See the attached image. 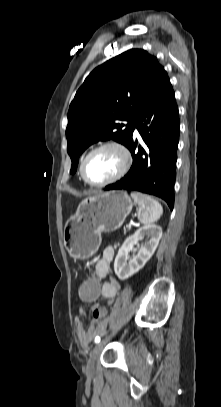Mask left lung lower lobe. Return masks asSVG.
I'll list each match as a JSON object with an SVG mask.
<instances>
[{"instance_id":"left-lung-lower-lobe-1","label":"left lung lower lobe","mask_w":221,"mask_h":407,"mask_svg":"<svg viewBox=\"0 0 221 407\" xmlns=\"http://www.w3.org/2000/svg\"><path fill=\"white\" fill-rule=\"evenodd\" d=\"M135 128L144 143L135 152L137 141L131 137L126 147L132 153L133 165L127 175L106 186L105 190L125 189L152 194L165 200L172 210L180 123L175 94L167 75L138 115L133 131Z\"/></svg>"}]
</instances>
